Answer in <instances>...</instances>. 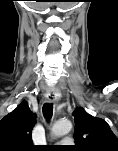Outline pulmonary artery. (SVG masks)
I'll use <instances>...</instances> for the list:
<instances>
[{
  "instance_id": "1",
  "label": "pulmonary artery",
  "mask_w": 118,
  "mask_h": 151,
  "mask_svg": "<svg viewBox=\"0 0 118 151\" xmlns=\"http://www.w3.org/2000/svg\"><path fill=\"white\" fill-rule=\"evenodd\" d=\"M73 140L71 138H65L61 141V144H71Z\"/></svg>"
}]
</instances>
